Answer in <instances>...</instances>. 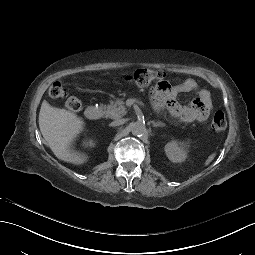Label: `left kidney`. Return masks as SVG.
I'll return each instance as SVG.
<instances>
[{
	"mask_svg": "<svg viewBox=\"0 0 255 255\" xmlns=\"http://www.w3.org/2000/svg\"><path fill=\"white\" fill-rule=\"evenodd\" d=\"M165 152L172 162H180L185 158V152L179 149L175 142H170L165 146Z\"/></svg>",
	"mask_w": 255,
	"mask_h": 255,
	"instance_id": "obj_1",
	"label": "left kidney"
}]
</instances>
